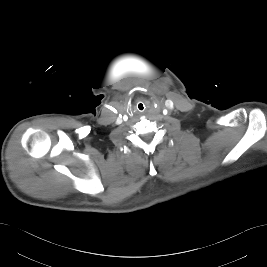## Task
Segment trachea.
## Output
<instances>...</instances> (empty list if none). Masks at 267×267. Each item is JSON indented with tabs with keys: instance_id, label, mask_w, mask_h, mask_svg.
I'll list each match as a JSON object with an SVG mask.
<instances>
[{
	"instance_id": "1",
	"label": "trachea",
	"mask_w": 267,
	"mask_h": 267,
	"mask_svg": "<svg viewBox=\"0 0 267 267\" xmlns=\"http://www.w3.org/2000/svg\"><path fill=\"white\" fill-rule=\"evenodd\" d=\"M138 109L140 110V111H143L144 110V106H143V104H138Z\"/></svg>"
}]
</instances>
